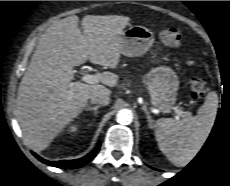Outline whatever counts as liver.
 Masks as SVG:
<instances>
[{
  "mask_svg": "<svg viewBox=\"0 0 230 186\" xmlns=\"http://www.w3.org/2000/svg\"><path fill=\"white\" fill-rule=\"evenodd\" d=\"M130 18L119 15H86L78 28L76 15L57 20L41 35L20 82L16 115L25 143L35 151L53 139L86 107L93 93L110 95L118 76L97 74L104 84L72 82L73 68L89 60L116 69L122 49L123 29Z\"/></svg>",
  "mask_w": 230,
  "mask_h": 186,
  "instance_id": "1",
  "label": "liver"
}]
</instances>
